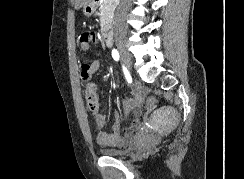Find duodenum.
<instances>
[{
	"label": "duodenum",
	"mask_w": 244,
	"mask_h": 179,
	"mask_svg": "<svg viewBox=\"0 0 244 179\" xmlns=\"http://www.w3.org/2000/svg\"><path fill=\"white\" fill-rule=\"evenodd\" d=\"M95 2L99 3L100 0H95ZM102 38H103L106 45L110 46L113 44L112 29L109 28L107 23H105L104 29L102 30Z\"/></svg>",
	"instance_id": "1"
}]
</instances>
